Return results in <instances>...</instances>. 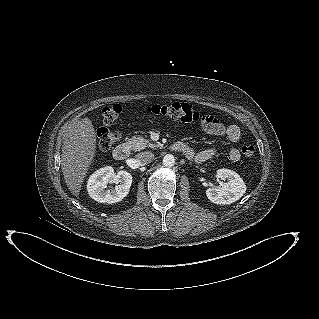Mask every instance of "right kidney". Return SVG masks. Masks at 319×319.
I'll return each instance as SVG.
<instances>
[{"label": "right kidney", "mask_w": 319, "mask_h": 319, "mask_svg": "<svg viewBox=\"0 0 319 319\" xmlns=\"http://www.w3.org/2000/svg\"><path fill=\"white\" fill-rule=\"evenodd\" d=\"M115 184L113 190L107 185ZM132 184V175L124 170L118 173L110 166L95 171L87 181V191L92 199L100 203H116L129 193Z\"/></svg>", "instance_id": "ca27d5eb"}]
</instances>
